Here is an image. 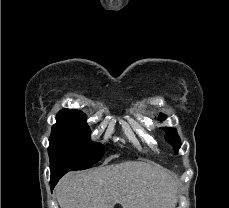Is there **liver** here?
Segmentation results:
<instances>
[{
    "mask_svg": "<svg viewBox=\"0 0 229 208\" xmlns=\"http://www.w3.org/2000/svg\"><path fill=\"white\" fill-rule=\"evenodd\" d=\"M175 176L162 166L123 162L70 172L56 186L60 208H175Z\"/></svg>",
    "mask_w": 229,
    "mask_h": 208,
    "instance_id": "1",
    "label": "liver"
}]
</instances>
